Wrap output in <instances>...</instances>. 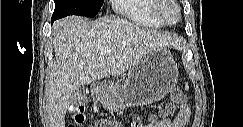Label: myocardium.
Masks as SVG:
<instances>
[{"label": "myocardium", "mask_w": 243, "mask_h": 127, "mask_svg": "<svg viewBox=\"0 0 243 127\" xmlns=\"http://www.w3.org/2000/svg\"><path fill=\"white\" fill-rule=\"evenodd\" d=\"M155 15L166 26H175L180 23L183 17V11L177 0H156ZM173 5L178 11V17L175 21H170L165 15V8Z\"/></svg>", "instance_id": "1"}]
</instances>
